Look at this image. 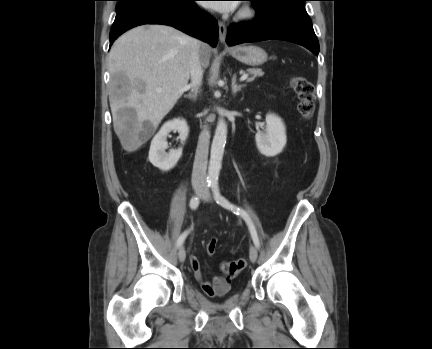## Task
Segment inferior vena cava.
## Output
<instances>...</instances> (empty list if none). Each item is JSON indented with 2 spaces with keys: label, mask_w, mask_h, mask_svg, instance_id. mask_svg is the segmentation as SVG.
I'll list each match as a JSON object with an SVG mask.
<instances>
[{
  "label": "inferior vena cava",
  "mask_w": 432,
  "mask_h": 349,
  "mask_svg": "<svg viewBox=\"0 0 432 349\" xmlns=\"http://www.w3.org/2000/svg\"><path fill=\"white\" fill-rule=\"evenodd\" d=\"M200 45L201 42L197 39H192L191 45V56H190V76L191 84L189 87L198 90L202 85L203 69L200 60ZM209 140L210 132L207 126L203 127V130L199 136L195 160L192 171V185H206V170L208 161L209 151Z\"/></svg>",
  "instance_id": "inferior-vena-cava-1"
}]
</instances>
